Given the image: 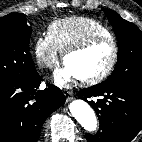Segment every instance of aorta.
<instances>
[{
	"label": "aorta",
	"instance_id": "obj_1",
	"mask_svg": "<svg viewBox=\"0 0 142 142\" xmlns=\"http://www.w3.org/2000/svg\"><path fill=\"white\" fill-rule=\"evenodd\" d=\"M69 110L78 123L87 131L94 132L97 129V118L88 103L81 99L72 101Z\"/></svg>",
	"mask_w": 142,
	"mask_h": 142
}]
</instances>
